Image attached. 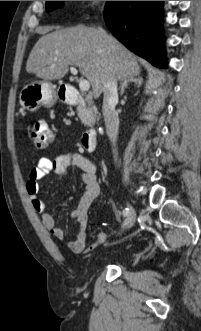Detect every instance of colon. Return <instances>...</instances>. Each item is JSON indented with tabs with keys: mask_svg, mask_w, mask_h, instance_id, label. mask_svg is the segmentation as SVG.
I'll use <instances>...</instances> for the list:
<instances>
[{
	"mask_svg": "<svg viewBox=\"0 0 201 331\" xmlns=\"http://www.w3.org/2000/svg\"><path fill=\"white\" fill-rule=\"evenodd\" d=\"M30 136L39 149L47 148L53 141V133L49 125L45 121H36L30 129Z\"/></svg>",
	"mask_w": 201,
	"mask_h": 331,
	"instance_id": "colon-1",
	"label": "colon"
}]
</instances>
